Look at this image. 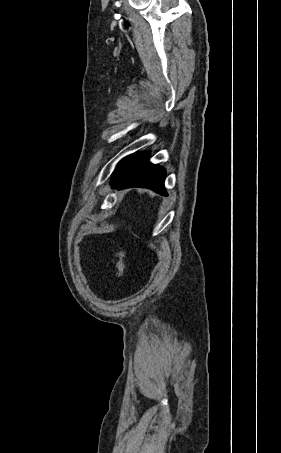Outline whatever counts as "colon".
Masks as SVG:
<instances>
[{
  "instance_id": "colon-1",
  "label": "colon",
  "mask_w": 281,
  "mask_h": 453,
  "mask_svg": "<svg viewBox=\"0 0 281 453\" xmlns=\"http://www.w3.org/2000/svg\"><path fill=\"white\" fill-rule=\"evenodd\" d=\"M126 268V254L122 246H118L115 250L114 258V276L119 279L125 272Z\"/></svg>"
}]
</instances>
